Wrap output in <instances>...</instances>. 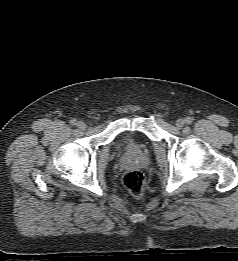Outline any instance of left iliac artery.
<instances>
[{
  "label": "left iliac artery",
  "instance_id": "1",
  "mask_svg": "<svg viewBox=\"0 0 238 261\" xmlns=\"http://www.w3.org/2000/svg\"><path fill=\"white\" fill-rule=\"evenodd\" d=\"M192 121H193V119H192L191 117L185 118V122H186L187 124H191Z\"/></svg>",
  "mask_w": 238,
  "mask_h": 261
}]
</instances>
